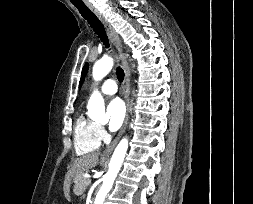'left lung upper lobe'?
<instances>
[{"label":"left lung upper lobe","instance_id":"left-lung-upper-lobe-1","mask_svg":"<svg viewBox=\"0 0 253 204\" xmlns=\"http://www.w3.org/2000/svg\"><path fill=\"white\" fill-rule=\"evenodd\" d=\"M88 63L85 64V66L83 67L82 69V75H81V79H80V86L82 85L83 81H84V78H85V75H86V72L88 70Z\"/></svg>","mask_w":253,"mask_h":204}]
</instances>
